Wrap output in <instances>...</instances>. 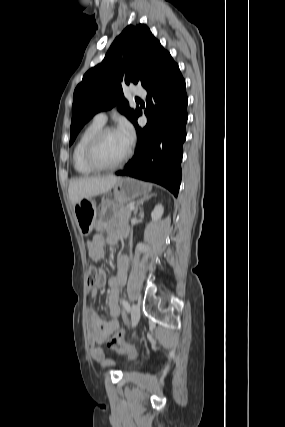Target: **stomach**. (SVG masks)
I'll list each match as a JSON object with an SVG mask.
<instances>
[{"instance_id":"stomach-1","label":"stomach","mask_w":285,"mask_h":427,"mask_svg":"<svg viewBox=\"0 0 285 427\" xmlns=\"http://www.w3.org/2000/svg\"><path fill=\"white\" fill-rule=\"evenodd\" d=\"M152 186L133 179L120 178L114 186V200L103 199L99 207L91 199H81L74 205V213L78 227L83 233L93 230L102 232L113 224L118 205L128 203L140 196H146Z\"/></svg>"}]
</instances>
